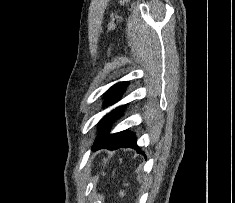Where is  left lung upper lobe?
<instances>
[{"instance_id": "5c2ea615", "label": "left lung upper lobe", "mask_w": 235, "mask_h": 203, "mask_svg": "<svg viewBox=\"0 0 235 203\" xmlns=\"http://www.w3.org/2000/svg\"><path fill=\"white\" fill-rule=\"evenodd\" d=\"M127 85V82H119L112 86L106 93H105V99H106V105H109L117 100L122 95L123 90L125 89ZM123 106H120L114 110H112L109 114L104 116V118L99 122L101 131L98 137L107 129L108 123L113 121L115 117L118 115V113L121 111Z\"/></svg>"}]
</instances>
